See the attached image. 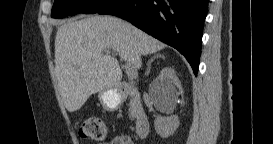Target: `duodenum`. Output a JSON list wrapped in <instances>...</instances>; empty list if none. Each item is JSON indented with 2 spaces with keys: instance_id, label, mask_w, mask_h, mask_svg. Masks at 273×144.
I'll use <instances>...</instances> for the list:
<instances>
[{
  "instance_id": "duodenum-1",
  "label": "duodenum",
  "mask_w": 273,
  "mask_h": 144,
  "mask_svg": "<svg viewBox=\"0 0 273 144\" xmlns=\"http://www.w3.org/2000/svg\"><path fill=\"white\" fill-rule=\"evenodd\" d=\"M117 90L120 95L131 98L132 108L135 114V134L139 138H146L150 131V121L141 102L138 89L132 83L125 82L121 83Z\"/></svg>"
}]
</instances>
